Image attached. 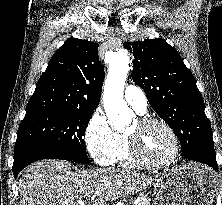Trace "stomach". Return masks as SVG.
I'll use <instances>...</instances> for the list:
<instances>
[{
  "mask_svg": "<svg viewBox=\"0 0 222 205\" xmlns=\"http://www.w3.org/2000/svg\"><path fill=\"white\" fill-rule=\"evenodd\" d=\"M214 192L208 168L185 164L163 172L157 179L155 205H211Z\"/></svg>",
  "mask_w": 222,
  "mask_h": 205,
  "instance_id": "1",
  "label": "stomach"
}]
</instances>
